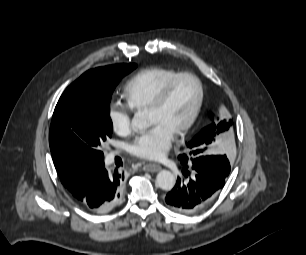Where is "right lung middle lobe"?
<instances>
[{
    "instance_id": "dd1d6c3e",
    "label": "right lung middle lobe",
    "mask_w": 306,
    "mask_h": 255,
    "mask_svg": "<svg viewBox=\"0 0 306 255\" xmlns=\"http://www.w3.org/2000/svg\"><path fill=\"white\" fill-rule=\"evenodd\" d=\"M136 64L111 66L108 78L72 83L60 97L52 117L49 144L65 187L74 186L89 167L104 165L101 147L111 138V95L121 77Z\"/></svg>"
}]
</instances>
